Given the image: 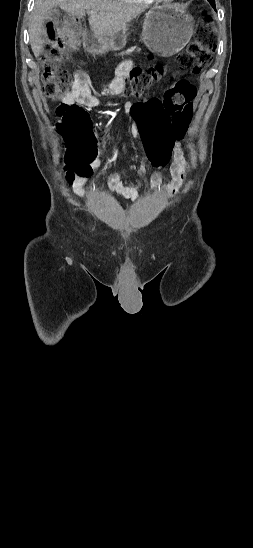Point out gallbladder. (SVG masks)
I'll list each match as a JSON object with an SVG mask.
<instances>
[{
    "mask_svg": "<svg viewBox=\"0 0 253 548\" xmlns=\"http://www.w3.org/2000/svg\"><path fill=\"white\" fill-rule=\"evenodd\" d=\"M61 15V12L58 9H53L49 12L47 19L54 20Z\"/></svg>",
    "mask_w": 253,
    "mask_h": 548,
    "instance_id": "gallbladder-1",
    "label": "gallbladder"
}]
</instances>
